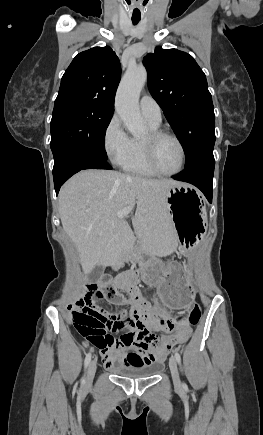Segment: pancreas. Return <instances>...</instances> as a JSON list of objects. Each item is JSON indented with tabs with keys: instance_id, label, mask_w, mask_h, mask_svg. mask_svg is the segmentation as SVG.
Returning a JSON list of instances; mask_svg holds the SVG:
<instances>
[{
	"instance_id": "1",
	"label": "pancreas",
	"mask_w": 263,
	"mask_h": 435,
	"mask_svg": "<svg viewBox=\"0 0 263 435\" xmlns=\"http://www.w3.org/2000/svg\"><path fill=\"white\" fill-rule=\"evenodd\" d=\"M136 249H137V246H135V248H134L133 250H131V251L126 255V257H127L128 255L132 254V252H133L134 250H136ZM123 260H124V258L120 259V260H119V263H121Z\"/></svg>"
}]
</instances>
